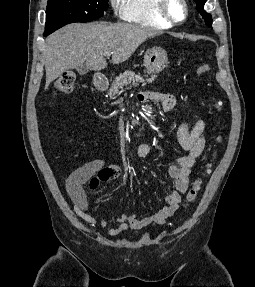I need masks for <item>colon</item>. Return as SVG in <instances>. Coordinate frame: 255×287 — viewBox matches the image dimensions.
<instances>
[{"instance_id":"colon-1","label":"colon","mask_w":255,"mask_h":287,"mask_svg":"<svg viewBox=\"0 0 255 287\" xmlns=\"http://www.w3.org/2000/svg\"><path fill=\"white\" fill-rule=\"evenodd\" d=\"M210 70V67L208 64H201L197 67V74L199 76L206 75ZM74 83H75V74L71 71L64 72L60 75V77L55 81L54 83V91L55 93L59 94H70L74 89ZM215 107L218 110H221L222 104L220 101L215 100ZM220 140V137H218V141ZM211 164L207 165V170L210 168ZM202 180L198 178L194 181L192 187L188 191L187 194V201L192 202L195 200L200 188H201Z\"/></svg>"}]
</instances>
